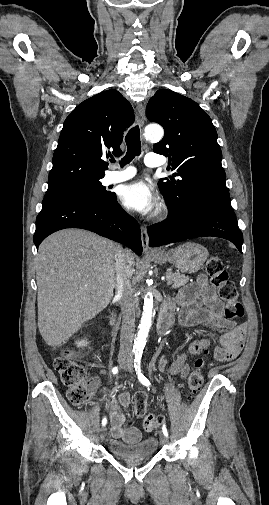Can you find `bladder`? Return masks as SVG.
<instances>
[{"label":"bladder","instance_id":"obj_1","mask_svg":"<svg viewBox=\"0 0 269 505\" xmlns=\"http://www.w3.org/2000/svg\"><path fill=\"white\" fill-rule=\"evenodd\" d=\"M110 452L122 459H138L153 456L158 448V440L155 437H147L134 443H126L117 439L108 442Z\"/></svg>","mask_w":269,"mask_h":505}]
</instances>
